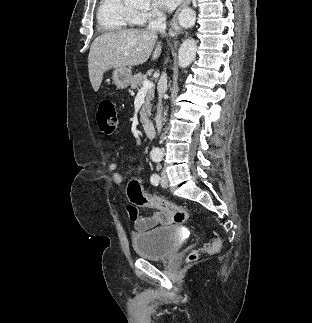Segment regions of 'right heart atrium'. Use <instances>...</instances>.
<instances>
[{"label": "right heart atrium", "mask_w": 312, "mask_h": 323, "mask_svg": "<svg viewBox=\"0 0 312 323\" xmlns=\"http://www.w3.org/2000/svg\"><path fill=\"white\" fill-rule=\"evenodd\" d=\"M145 17H166L167 11L166 10H145L143 12Z\"/></svg>", "instance_id": "1"}]
</instances>
